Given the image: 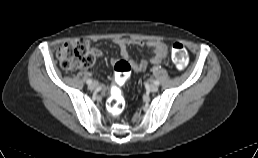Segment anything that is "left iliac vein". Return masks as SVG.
I'll return each mask as SVG.
<instances>
[{
    "mask_svg": "<svg viewBox=\"0 0 258 158\" xmlns=\"http://www.w3.org/2000/svg\"><path fill=\"white\" fill-rule=\"evenodd\" d=\"M149 90H150L151 92H157V91H158V85H156V84H151V85L149 86Z\"/></svg>",
    "mask_w": 258,
    "mask_h": 158,
    "instance_id": "1",
    "label": "left iliac vein"
}]
</instances>
